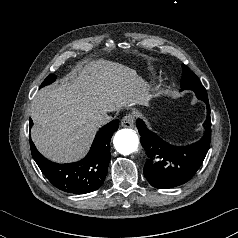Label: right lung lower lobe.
<instances>
[{
    "label": "right lung lower lobe",
    "mask_w": 238,
    "mask_h": 238,
    "mask_svg": "<svg viewBox=\"0 0 238 238\" xmlns=\"http://www.w3.org/2000/svg\"><path fill=\"white\" fill-rule=\"evenodd\" d=\"M32 125L30 119V127ZM118 127V120L103 126L96 134L87 156L78 162L53 163L42 156L30 140L31 153L42 173L56 188L74 194L89 193L104 183L111 158L110 140Z\"/></svg>",
    "instance_id": "obj_1"
}]
</instances>
